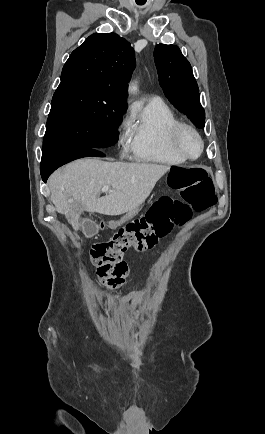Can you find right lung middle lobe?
Masks as SVG:
<instances>
[{
  "instance_id": "1",
  "label": "right lung middle lobe",
  "mask_w": 265,
  "mask_h": 434,
  "mask_svg": "<svg viewBox=\"0 0 265 434\" xmlns=\"http://www.w3.org/2000/svg\"><path fill=\"white\" fill-rule=\"evenodd\" d=\"M126 99L84 83L60 84L54 93L43 141V153L101 149L118 140Z\"/></svg>"
}]
</instances>
